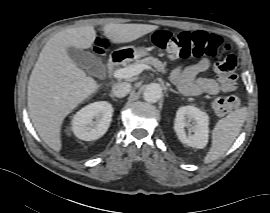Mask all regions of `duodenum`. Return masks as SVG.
I'll use <instances>...</instances> for the list:
<instances>
[{
  "mask_svg": "<svg viewBox=\"0 0 270 213\" xmlns=\"http://www.w3.org/2000/svg\"><path fill=\"white\" fill-rule=\"evenodd\" d=\"M126 59V55L121 52H115L110 57L109 62V71L113 72L115 69L120 66Z\"/></svg>",
  "mask_w": 270,
  "mask_h": 213,
  "instance_id": "obj_1",
  "label": "duodenum"
}]
</instances>
